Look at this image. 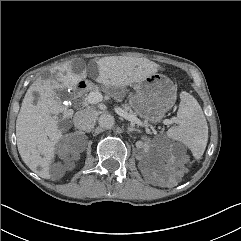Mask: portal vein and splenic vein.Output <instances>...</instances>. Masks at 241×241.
Returning a JSON list of instances; mask_svg holds the SVG:
<instances>
[{"label": "portal vein and splenic vein", "instance_id": "18ae733b", "mask_svg": "<svg viewBox=\"0 0 241 241\" xmlns=\"http://www.w3.org/2000/svg\"><path fill=\"white\" fill-rule=\"evenodd\" d=\"M103 99V96L100 92H91L89 93V101L90 103L97 104L101 102ZM116 112L118 115L122 116L123 118L131 121V122H136L139 123V120L134 116L129 114L128 112L122 110L121 108L116 109ZM175 122L174 119H166L163 121L165 125H171Z\"/></svg>", "mask_w": 241, "mask_h": 241}]
</instances>
